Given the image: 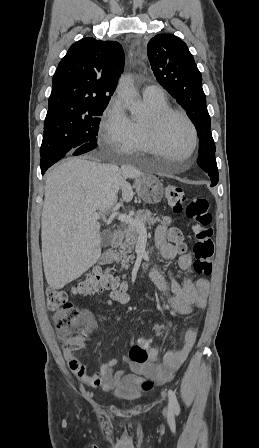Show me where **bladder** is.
<instances>
[{
	"label": "bladder",
	"mask_w": 259,
	"mask_h": 448,
	"mask_svg": "<svg viewBox=\"0 0 259 448\" xmlns=\"http://www.w3.org/2000/svg\"><path fill=\"white\" fill-rule=\"evenodd\" d=\"M113 396L120 401L132 403L141 398V393L135 389L120 388L113 392Z\"/></svg>",
	"instance_id": "1"
}]
</instances>
